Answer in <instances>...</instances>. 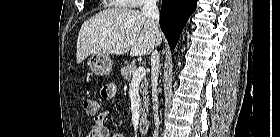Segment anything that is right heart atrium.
Segmentation results:
<instances>
[{
	"label": "right heart atrium",
	"instance_id": "right-heart-atrium-1",
	"mask_svg": "<svg viewBox=\"0 0 280 137\" xmlns=\"http://www.w3.org/2000/svg\"><path fill=\"white\" fill-rule=\"evenodd\" d=\"M133 3L138 7H145L147 5V0H133Z\"/></svg>",
	"mask_w": 280,
	"mask_h": 137
}]
</instances>
